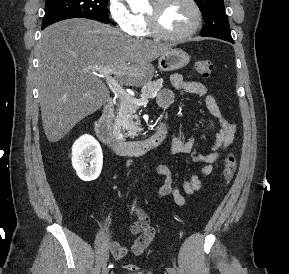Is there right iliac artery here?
I'll list each match as a JSON object with an SVG mask.
<instances>
[{"mask_svg": "<svg viewBox=\"0 0 289 274\" xmlns=\"http://www.w3.org/2000/svg\"><path fill=\"white\" fill-rule=\"evenodd\" d=\"M108 268H113V265L111 264V265H109V267Z\"/></svg>", "mask_w": 289, "mask_h": 274, "instance_id": "obj_1", "label": "right iliac artery"}]
</instances>
